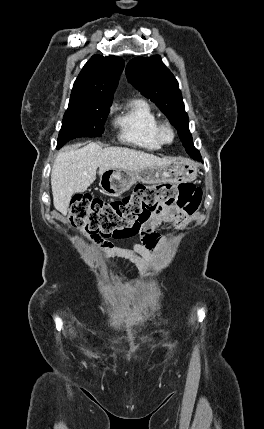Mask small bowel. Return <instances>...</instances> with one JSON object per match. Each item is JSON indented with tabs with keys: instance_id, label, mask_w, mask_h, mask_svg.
Listing matches in <instances>:
<instances>
[{
	"instance_id": "obj_1",
	"label": "small bowel",
	"mask_w": 264,
	"mask_h": 429,
	"mask_svg": "<svg viewBox=\"0 0 264 429\" xmlns=\"http://www.w3.org/2000/svg\"><path fill=\"white\" fill-rule=\"evenodd\" d=\"M188 221L189 216L177 208H169L162 213L153 215L140 229V235L143 241L142 244H135L132 250L117 248L103 238H91L106 255L118 256L126 259H131L137 255L150 260L151 252L164 243V238L155 232V228L163 223L175 224L178 227H183Z\"/></svg>"
}]
</instances>
